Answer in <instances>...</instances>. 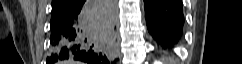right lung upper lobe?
Wrapping results in <instances>:
<instances>
[{"label":"right lung upper lobe","instance_id":"obj_1","mask_svg":"<svg viewBox=\"0 0 242 64\" xmlns=\"http://www.w3.org/2000/svg\"><path fill=\"white\" fill-rule=\"evenodd\" d=\"M76 0H52V14L66 12L74 7Z\"/></svg>","mask_w":242,"mask_h":64}]
</instances>
